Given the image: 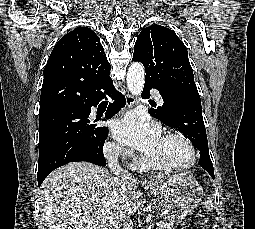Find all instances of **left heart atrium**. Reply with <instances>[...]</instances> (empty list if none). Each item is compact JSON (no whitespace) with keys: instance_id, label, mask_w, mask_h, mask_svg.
Returning a JSON list of instances; mask_svg holds the SVG:
<instances>
[{"instance_id":"39dd6f15","label":"left heart atrium","mask_w":255,"mask_h":229,"mask_svg":"<svg viewBox=\"0 0 255 229\" xmlns=\"http://www.w3.org/2000/svg\"><path fill=\"white\" fill-rule=\"evenodd\" d=\"M113 137L122 144L136 148L143 153L149 152L161 137L157 124L136 114H127L113 121Z\"/></svg>"}]
</instances>
